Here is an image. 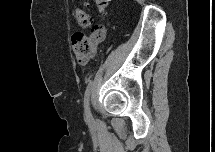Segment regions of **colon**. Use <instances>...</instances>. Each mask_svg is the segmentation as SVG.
Instances as JSON below:
<instances>
[{
	"mask_svg": "<svg viewBox=\"0 0 215 152\" xmlns=\"http://www.w3.org/2000/svg\"><path fill=\"white\" fill-rule=\"evenodd\" d=\"M101 13L106 11L108 0H93ZM74 18L76 23L81 28L91 26L90 14L82 9L77 8L74 11ZM105 37V29L101 25L92 27L91 34L86 36L84 34H74L72 37V49L78 61L86 65L89 59L94 55L97 47L102 43Z\"/></svg>",
	"mask_w": 215,
	"mask_h": 152,
	"instance_id": "obj_1",
	"label": "colon"
}]
</instances>
